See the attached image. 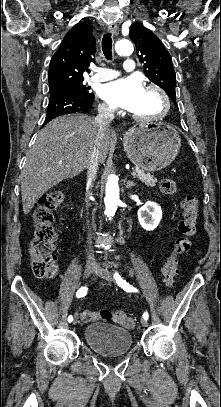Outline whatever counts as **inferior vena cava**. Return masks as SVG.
I'll return each instance as SVG.
<instances>
[{
    "mask_svg": "<svg viewBox=\"0 0 221 407\" xmlns=\"http://www.w3.org/2000/svg\"><path fill=\"white\" fill-rule=\"evenodd\" d=\"M114 119V110L108 105L100 104L98 106V115L95 119V124L97 126V136L94 142V147L87 165V179L88 183L92 184L95 180L97 170L100 164V148L104 133L109 129L110 123ZM90 195V192H88ZM90 239V237H89ZM95 260L94 253L91 247H89L87 253V261L93 262Z\"/></svg>",
    "mask_w": 221,
    "mask_h": 407,
    "instance_id": "602c4592",
    "label": "inferior vena cava"
}]
</instances>
